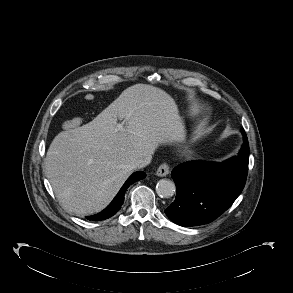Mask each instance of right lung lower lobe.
Wrapping results in <instances>:
<instances>
[{"instance_id":"98d812e1","label":"right lung lower lobe","mask_w":293,"mask_h":293,"mask_svg":"<svg viewBox=\"0 0 293 293\" xmlns=\"http://www.w3.org/2000/svg\"><path fill=\"white\" fill-rule=\"evenodd\" d=\"M145 177V173L142 171L135 172L132 174L128 180L125 182V184L122 186L116 197L113 199V201L100 213L94 215V216H88V220L93 221H100L105 220L107 218H110L113 216L117 211L120 210L123 202H124V193L127 190V188L130 186V184H133L134 182L143 179Z\"/></svg>"}]
</instances>
